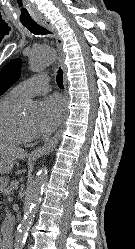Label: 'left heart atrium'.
Wrapping results in <instances>:
<instances>
[{"label":"left heart atrium","instance_id":"39dd6f15","mask_svg":"<svg viewBox=\"0 0 135 249\" xmlns=\"http://www.w3.org/2000/svg\"><path fill=\"white\" fill-rule=\"evenodd\" d=\"M65 112V103L59 95L45 98L40 105L35 130L40 133L52 132L61 122Z\"/></svg>","mask_w":135,"mask_h":249}]
</instances>
